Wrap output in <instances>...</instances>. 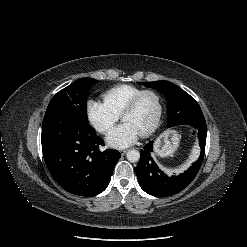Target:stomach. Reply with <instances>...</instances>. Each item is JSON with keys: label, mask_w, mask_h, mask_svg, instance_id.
Returning <instances> with one entry per match:
<instances>
[{"label": "stomach", "mask_w": 247, "mask_h": 247, "mask_svg": "<svg viewBox=\"0 0 247 247\" xmlns=\"http://www.w3.org/2000/svg\"><path fill=\"white\" fill-rule=\"evenodd\" d=\"M180 136L174 130H167L154 144V153L161 157L172 155L179 145Z\"/></svg>", "instance_id": "0dacf381"}]
</instances>
